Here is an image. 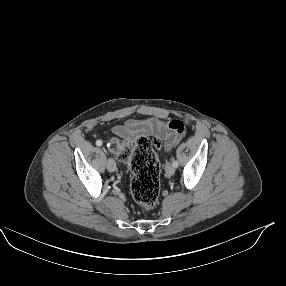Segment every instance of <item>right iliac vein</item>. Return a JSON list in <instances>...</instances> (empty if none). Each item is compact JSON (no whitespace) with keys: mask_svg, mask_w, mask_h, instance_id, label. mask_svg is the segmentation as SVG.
Here are the masks:
<instances>
[{"mask_svg":"<svg viewBox=\"0 0 286 286\" xmlns=\"http://www.w3.org/2000/svg\"><path fill=\"white\" fill-rule=\"evenodd\" d=\"M107 169L109 172H114L116 169V163L113 159H108L107 161Z\"/></svg>","mask_w":286,"mask_h":286,"instance_id":"1","label":"right iliac vein"}]
</instances>
